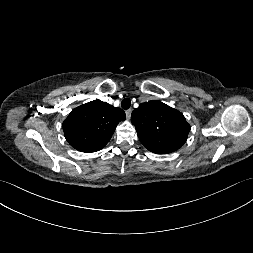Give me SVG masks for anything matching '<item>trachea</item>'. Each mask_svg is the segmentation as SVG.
I'll list each match as a JSON object with an SVG mask.
<instances>
[{"label": "trachea", "mask_w": 253, "mask_h": 253, "mask_svg": "<svg viewBox=\"0 0 253 253\" xmlns=\"http://www.w3.org/2000/svg\"><path fill=\"white\" fill-rule=\"evenodd\" d=\"M130 106H131V100L129 98L123 99V101L121 102V107L126 110Z\"/></svg>", "instance_id": "3493384b"}]
</instances>
